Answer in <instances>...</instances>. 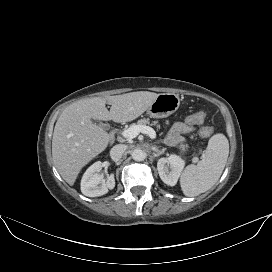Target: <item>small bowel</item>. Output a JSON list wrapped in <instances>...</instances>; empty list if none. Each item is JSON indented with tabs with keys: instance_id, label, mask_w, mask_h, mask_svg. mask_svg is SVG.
I'll return each mask as SVG.
<instances>
[{
	"instance_id": "c3829d8e",
	"label": "small bowel",
	"mask_w": 272,
	"mask_h": 272,
	"mask_svg": "<svg viewBox=\"0 0 272 272\" xmlns=\"http://www.w3.org/2000/svg\"><path fill=\"white\" fill-rule=\"evenodd\" d=\"M193 126L189 123L184 122H178L175 123L168 135H167V143L170 145H176L178 143H181L184 140V135L190 133L193 131Z\"/></svg>"
}]
</instances>
